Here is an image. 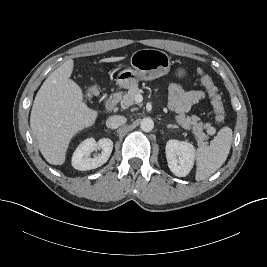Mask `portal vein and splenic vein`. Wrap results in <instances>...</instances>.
Here are the masks:
<instances>
[{"label": "portal vein and splenic vein", "mask_w": 267, "mask_h": 267, "mask_svg": "<svg viewBox=\"0 0 267 267\" xmlns=\"http://www.w3.org/2000/svg\"><path fill=\"white\" fill-rule=\"evenodd\" d=\"M135 101L137 102V103H140L141 101H142V97H141V95H137L136 97H135Z\"/></svg>", "instance_id": "1"}]
</instances>
